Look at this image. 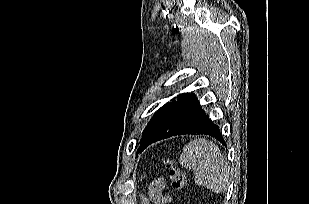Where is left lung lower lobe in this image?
<instances>
[{
	"instance_id": "obj_1",
	"label": "left lung lower lobe",
	"mask_w": 309,
	"mask_h": 204,
	"mask_svg": "<svg viewBox=\"0 0 309 204\" xmlns=\"http://www.w3.org/2000/svg\"><path fill=\"white\" fill-rule=\"evenodd\" d=\"M182 134H206L226 145L219 127L200 108L196 96L189 94L158 117L142 140L140 152L158 140Z\"/></svg>"
}]
</instances>
